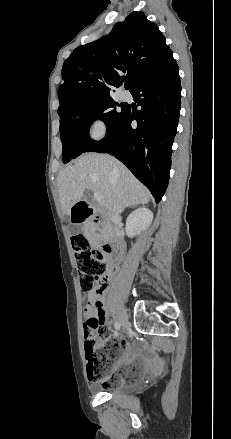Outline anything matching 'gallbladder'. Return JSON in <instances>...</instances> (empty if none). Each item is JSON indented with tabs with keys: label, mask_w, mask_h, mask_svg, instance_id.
Instances as JSON below:
<instances>
[{
	"label": "gallbladder",
	"mask_w": 231,
	"mask_h": 439,
	"mask_svg": "<svg viewBox=\"0 0 231 439\" xmlns=\"http://www.w3.org/2000/svg\"><path fill=\"white\" fill-rule=\"evenodd\" d=\"M85 200H87V199L85 198ZM81 229L82 228L80 226H77V225L71 226L70 227V234L71 235L78 234L81 231Z\"/></svg>",
	"instance_id": "gallbladder-1"
}]
</instances>
